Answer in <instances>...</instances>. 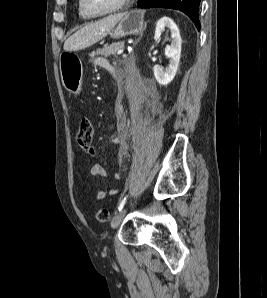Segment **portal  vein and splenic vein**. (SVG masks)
<instances>
[{
	"instance_id": "obj_1",
	"label": "portal vein and splenic vein",
	"mask_w": 267,
	"mask_h": 298,
	"mask_svg": "<svg viewBox=\"0 0 267 298\" xmlns=\"http://www.w3.org/2000/svg\"><path fill=\"white\" fill-rule=\"evenodd\" d=\"M123 51H124V48H121V49L118 50L117 54L121 55L123 53Z\"/></svg>"
}]
</instances>
